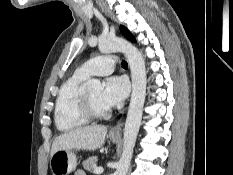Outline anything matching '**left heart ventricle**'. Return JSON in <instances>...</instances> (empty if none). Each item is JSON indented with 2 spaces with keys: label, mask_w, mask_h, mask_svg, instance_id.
<instances>
[{
  "label": "left heart ventricle",
  "mask_w": 233,
  "mask_h": 175,
  "mask_svg": "<svg viewBox=\"0 0 233 175\" xmlns=\"http://www.w3.org/2000/svg\"><path fill=\"white\" fill-rule=\"evenodd\" d=\"M93 105L98 110L108 109L101 101V89H93L86 91Z\"/></svg>",
  "instance_id": "b2bd125f"
}]
</instances>
